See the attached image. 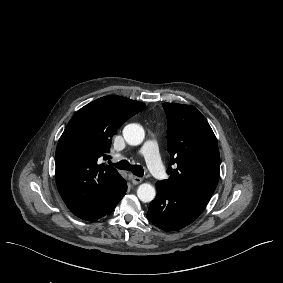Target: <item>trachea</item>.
I'll return each mask as SVG.
<instances>
[{
	"mask_svg": "<svg viewBox=\"0 0 283 283\" xmlns=\"http://www.w3.org/2000/svg\"><path fill=\"white\" fill-rule=\"evenodd\" d=\"M116 167L121 170L131 171L138 177H142L144 173L142 166L130 164L127 160H121L116 164Z\"/></svg>",
	"mask_w": 283,
	"mask_h": 283,
	"instance_id": "3493384b",
	"label": "trachea"
}]
</instances>
